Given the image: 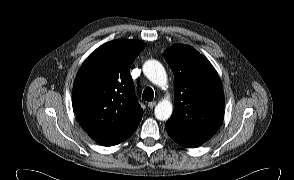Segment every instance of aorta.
<instances>
[{"label":"aorta","instance_id":"aorta-1","mask_svg":"<svg viewBox=\"0 0 294 180\" xmlns=\"http://www.w3.org/2000/svg\"><path fill=\"white\" fill-rule=\"evenodd\" d=\"M143 72L146 77L155 85L164 87L167 84V74L163 65L156 60H148L143 65ZM172 103L168 99L159 102L155 107V117L158 120H168L172 115Z\"/></svg>","mask_w":294,"mask_h":180}]
</instances>
